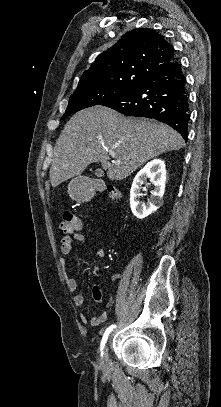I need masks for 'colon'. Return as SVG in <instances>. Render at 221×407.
Listing matches in <instances>:
<instances>
[{"label": "colon", "mask_w": 221, "mask_h": 407, "mask_svg": "<svg viewBox=\"0 0 221 407\" xmlns=\"http://www.w3.org/2000/svg\"><path fill=\"white\" fill-rule=\"evenodd\" d=\"M107 191L109 196L114 201L121 199V193L113 186H108ZM80 228V222L77 216L71 212H66L63 219L59 223V231L63 235H70Z\"/></svg>", "instance_id": "1"}]
</instances>
